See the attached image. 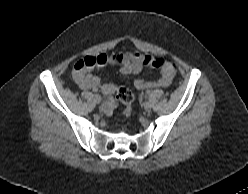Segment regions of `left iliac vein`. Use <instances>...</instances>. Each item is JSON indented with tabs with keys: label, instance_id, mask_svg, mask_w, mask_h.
Returning <instances> with one entry per match:
<instances>
[{
	"label": "left iliac vein",
	"instance_id": "1",
	"mask_svg": "<svg viewBox=\"0 0 248 194\" xmlns=\"http://www.w3.org/2000/svg\"><path fill=\"white\" fill-rule=\"evenodd\" d=\"M143 107L146 112H149L152 109V104L151 102H145Z\"/></svg>",
	"mask_w": 248,
	"mask_h": 194
}]
</instances>
